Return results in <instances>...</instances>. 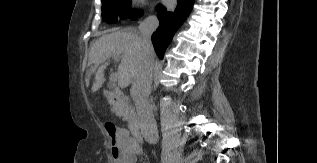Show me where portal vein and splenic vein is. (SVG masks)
Returning a JSON list of instances; mask_svg holds the SVG:
<instances>
[{
  "instance_id": "1",
  "label": "portal vein and splenic vein",
  "mask_w": 317,
  "mask_h": 163,
  "mask_svg": "<svg viewBox=\"0 0 317 163\" xmlns=\"http://www.w3.org/2000/svg\"><path fill=\"white\" fill-rule=\"evenodd\" d=\"M119 57H114V60L115 61H119ZM117 80H118V74L117 73H112L111 75H110V81L112 82V83H116L117 82Z\"/></svg>"
}]
</instances>
